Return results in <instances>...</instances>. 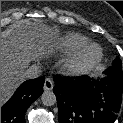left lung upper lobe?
<instances>
[{
	"instance_id": "left-lung-upper-lobe-1",
	"label": "left lung upper lobe",
	"mask_w": 123,
	"mask_h": 123,
	"mask_svg": "<svg viewBox=\"0 0 123 123\" xmlns=\"http://www.w3.org/2000/svg\"><path fill=\"white\" fill-rule=\"evenodd\" d=\"M105 74L106 76L123 81L122 63L119 57L113 61L112 66L107 69Z\"/></svg>"
}]
</instances>
